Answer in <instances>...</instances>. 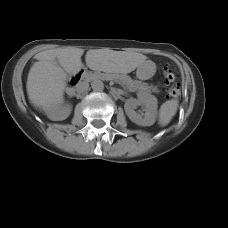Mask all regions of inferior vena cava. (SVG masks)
I'll list each match as a JSON object with an SVG mask.
<instances>
[{
    "label": "inferior vena cava",
    "instance_id": "obj_1",
    "mask_svg": "<svg viewBox=\"0 0 228 228\" xmlns=\"http://www.w3.org/2000/svg\"><path fill=\"white\" fill-rule=\"evenodd\" d=\"M89 90H90V87L87 83H79L78 85H76L74 89H72L73 95L76 96L77 98H81Z\"/></svg>",
    "mask_w": 228,
    "mask_h": 228
}]
</instances>
